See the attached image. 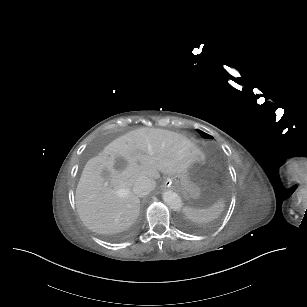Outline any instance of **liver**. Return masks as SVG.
<instances>
[{
  "label": "liver",
  "instance_id": "liver-1",
  "mask_svg": "<svg viewBox=\"0 0 307 307\" xmlns=\"http://www.w3.org/2000/svg\"><path fill=\"white\" fill-rule=\"evenodd\" d=\"M199 150L182 134L140 128L97 151L85 165L76 188V207L88 229L118 233L132 225L140 199L132 191L140 177L153 189L162 174H178L199 161Z\"/></svg>",
  "mask_w": 307,
  "mask_h": 307
}]
</instances>
